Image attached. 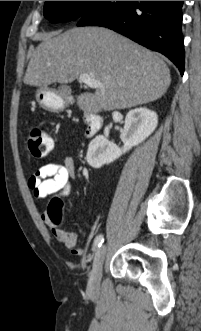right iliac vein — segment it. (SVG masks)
Returning <instances> with one entry per match:
<instances>
[{
    "label": "right iliac vein",
    "mask_w": 201,
    "mask_h": 331,
    "mask_svg": "<svg viewBox=\"0 0 201 331\" xmlns=\"http://www.w3.org/2000/svg\"><path fill=\"white\" fill-rule=\"evenodd\" d=\"M105 255H106V245H102L96 250L95 253L93 267L88 282L89 294H95L99 290Z\"/></svg>",
    "instance_id": "63e3f726"
}]
</instances>
